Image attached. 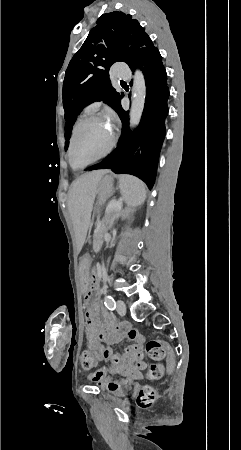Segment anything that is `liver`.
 Returning a JSON list of instances; mask_svg holds the SVG:
<instances>
[{"instance_id": "1", "label": "liver", "mask_w": 241, "mask_h": 450, "mask_svg": "<svg viewBox=\"0 0 241 450\" xmlns=\"http://www.w3.org/2000/svg\"><path fill=\"white\" fill-rule=\"evenodd\" d=\"M109 170H97L84 174L77 180H74L69 194V210L78 226H83L85 220V228L87 230L90 222V216L98 192V184L108 174Z\"/></svg>"}]
</instances>
